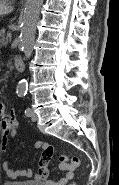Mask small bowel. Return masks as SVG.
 <instances>
[{"instance_id": "1", "label": "small bowel", "mask_w": 119, "mask_h": 185, "mask_svg": "<svg viewBox=\"0 0 119 185\" xmlns=\"http://www.w3.org/2000/svg\"><path fill=\"white\" fill-rule=\"evenodd\" d=\"M0 117L2 132L1 149L7 157V160L2 163V170L5 175L11 179L34 177L35 180L39 181L47 180L49 175V162L54 152L53 146L44 141H38L34 144L36 150H42L38 171L35 174L30 168L14 170L10 163L11 150L9 148V143L15 137L19 123L3 102H0ZM60 169L66 172L65 175L57 182L47 181V185H68L69 181L74 178L75 167L61 164Z\"/></svg>"}]
</instances>
